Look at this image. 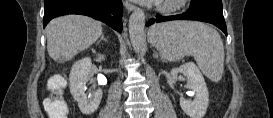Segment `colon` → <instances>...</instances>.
<instances>
[{
	"instance_id": "colon-1",
	"label": "colon",
	"mask_w": 273,
	"mask_h": 118,
	"mask_svg": "<svg viewBox=\"0 0 273 118\" xmlns=\"http://www.w3.org/2000/svg\"><path fill=\"white\" fill-rule=\"evenodd\" d=\"M50 83L51 87L53 88V92L49 97L44 99V109L51 118H66L68 107L61 95V88L54 86L52 79L50 80Z\"/></svg>"
}]
</instances>
